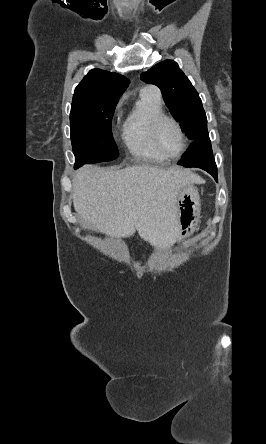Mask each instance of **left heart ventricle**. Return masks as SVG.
<instances>
[{
  "label": "left heart ventricle",
  "mask_w": 266,
  "mask_h": 444,
  "mask_svg": "<svg viewBox=\"0 0 266 444\" xmlns=\"http://www.w3.org/2000/svg\"><path fill=\"white\" fill-rule=\"evenodd\" d=\"M158 140L166 154L175 155L179 152L181 138L173 123L166 121L160 126Z\"/></svg>",
  "instance_id": "left-heart-ventricle-1"
}]
</instances>
